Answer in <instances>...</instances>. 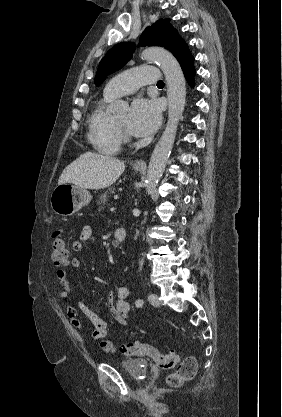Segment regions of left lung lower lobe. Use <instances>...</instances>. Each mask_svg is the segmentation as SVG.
I'll list each match as a JSON object with an SVG mask.
<instances>
[{"mask_svg":"<svg viewBox=\"0 0 282 417\" xmlns=\"http://www.w3.org/2000/svg\"><path fill=\"white\" fill-rule=\"evenodd\" d=\"M174 56L179 61L186 80L191 87L194 86L195 69L193 65L194 57L190 53L187 44L180 46L174 52Z\"/></svg>","mask_w":282,"mask_h":417,"instance_id":"1","label":"left lung lower lobe"}]
</instances>
